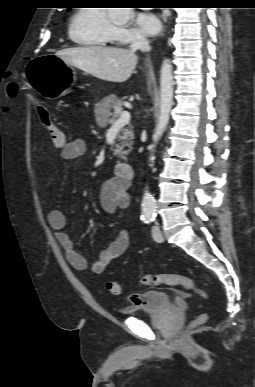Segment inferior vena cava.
<instances>
[{
    "mask_svg": "<svg viewBox=\"0 0 255 387\" xmlns=\"http://www.w3.org/2000/svg\"><path fill=\"white\" fill-rule=\"evenodd\" d=\"M131 50L136 51L140 49L143 52H149L150 51V46H149V41L143 37V36H137L132 44H131Z\"/></svg>",
    "mask_w": 255,
    "mask_h": 387,
    "instance_id": "inferior-vena-cava-1",
    "label": "inferior vena cava"
}]
</instances>
